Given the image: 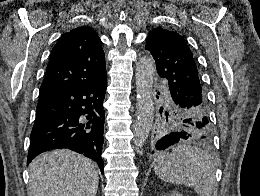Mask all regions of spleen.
Instances as JSON below:
<instances>
[{
	"instance_id": "3e777b00",
	"label": "spleen",
	"mask_w": 260,
	"mask_h": 196,
	"mask_svg": "<svg viewBox=\"0 0 260 196\" xmlns=\"http://www.w3.org/2000/svg\"><path fill=\"white\" fill-rule=\"evenodd\" d=\"M154 172L163 182L194 188L199 196H211L215 166L207 152L197 146H175L154 160Z\"/></svg>"
}]
</instances>
